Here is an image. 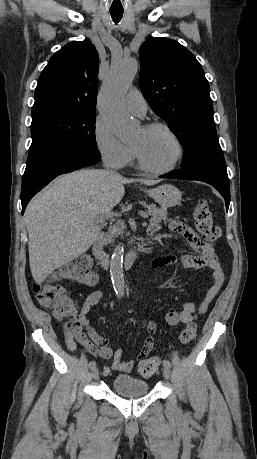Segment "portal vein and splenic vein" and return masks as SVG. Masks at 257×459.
<instances>
[{"label":"portal vein and splenic vein","mask_w":257,"mask_h":459,"mask_svg":"<svg viewBox=\"0 0 257 459\" xmlns=\"http://www.w3.org/2000/svg\"><path fill=\"white\" fill-rule=\"evenodd\" d=\"M118 215H119V214H117V213H110L106 218L112 217V216H118ZM139 215H140L142 218H144V219H147V218H148V214L145 213V212H139ZM106 218H105V219H106Z\"/></svg>","instance_id":"1"}]
</instances>
